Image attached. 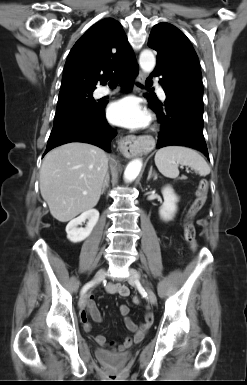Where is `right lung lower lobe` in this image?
<instances>
[{
  "label": "right lung lower lobe",
  "mask_w": 247,
  "mask_h": 385,
  "mask_svg": "<svg viewBox=\"0 0 247 385\" xmlns=\"http://www.w3.org/2000/svg\"><path fill=\"white\" fill-rule=\"evenodd\" d=\"M138 71V65L135 64L120 76L126 91L131 90ZM104 108V104L98 103L93 108L75 109L55 116L44 155L54 147L69 142L90 143L109 152L116 131L107 124Z\"/></svg>",
  "instance_id": "1"
}]
</instances>
